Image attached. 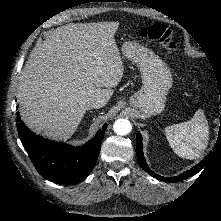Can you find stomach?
Instances as JSON below:
<instances>
[{
	"label": "stomach",
	"instance_id": "stomach-1",
	"mask_svg": "<svg viewBox=\"0 0 221 221\" xmlns=\"http://www.w3.org/2000/svg\"><path fill=\"white\" fill-rule=\"evenodd\" d=\"M122 53L137 65L142 78V87L130 98V106L138 109L142 118L160 114L173 83L170 70L154 52L138 43L125 42Z\"/></svg>",
	"mask_w": 221,
	"mask_h": 221
}]
</instances>
